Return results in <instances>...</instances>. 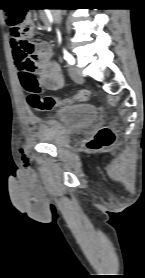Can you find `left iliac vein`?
I'll return each mask as SVG.
<instances>
[{
	"mask_svg": "<svg viewBox=\"0 0 145 278\" xmlns=\"http://www.w3.org/2000/svg\"><path fill=\"white\" fill-rule=\"evenodd\" d=\"M69 74L71 78L76 82H81L83 80V76L81 73V70L79 68H76L74 66H69Z\"/></svg>",
	"mask_w": 145,
	"mask_h": 278,
	"instance_id": "1",
	"label": "left iliac vein"
}]
</instances>
